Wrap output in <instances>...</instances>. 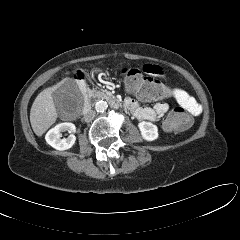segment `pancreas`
Segmentation results:
<instances>
[{"label": "pancreas", "instance_id": "1", "mask_svg": "<svg viewBox=\"0 0 240 240\" xmlns=\"http://www.w3.org/2000/svg\"><path fill=\"white\" fill-rule=\"evenodd\" d=\"M87 95H88L89 98H91V97L96 98V97H104L105 93H103V92H101L97 89H92V90L89 89L88 92H87Z\"/></svg>", "mask_w": 240, "mask_h": 240}]
</instances>
